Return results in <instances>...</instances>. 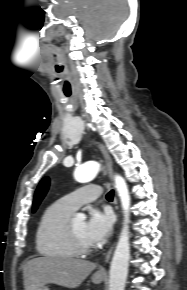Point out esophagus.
Here are the masks:
<instances>
[{
  "mask_svg": "<svg viewBox=\"0 0 187 290\" xmlns=\"http://www.w3.org/2000/svg\"><path fill=\"white\" fill-rule=\"evenodd\" d=\"M98 147H99V149H100V151H101V153H102V155L104 157L109 177L112 178L113 170H112V159H111V156H110L108 150L106 149V147L102 143L98 142ZM115 203L117 204V198L116 197H115ZM112 250H113V246L109 249V251L106 254V259H105L106 262L109 261V259L111 257V254H112ZM98 274L105 275L106 274L105 269L101 268L98 271Z\"/></svg>",
  "mask_w": 187,
  "mask_h": 290,
  "instance_id": "obj_1",
  "label": "esophagus"
}]
</instances>
